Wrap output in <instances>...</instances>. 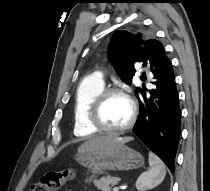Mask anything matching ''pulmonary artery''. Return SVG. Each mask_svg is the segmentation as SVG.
I'll return each instance as SVG.
<instances>
[{
    "instance_id": "obj_1",
    "label": "pulmonary artery",
    "mask_w": 210,
    "mask_h": 191,
    "mask_svg": "<svg viewBox=\"0 0 210 191\" xmlns=\"http://www.w3.org/2000/svg\"><path fill=\"white\" fill-rule=\"evenodd\" d=\"M90 77L96 81L104 82L102 71H96Z\"/></svg>"
}]
</instances>
